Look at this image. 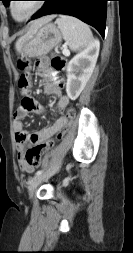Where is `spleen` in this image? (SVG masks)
Segmentation results:
<instances>
[{
  "mask_svg": "<svg viewBox=\"0 0 133 253\" xmlns=\"http://www.w3.org/2000/svg\"><path fill=\"white\" fill-rule=\"evenodd\" d=\"M56 23L65 43L72 51H78L91 43L92 32L89 26L79 19L68 15H60Z\"/></svg>",
  "mask_w": 133,
  "mask_h": 253,
  "instance_id": "1",
  "label": "spleen"
}]
</instances>
